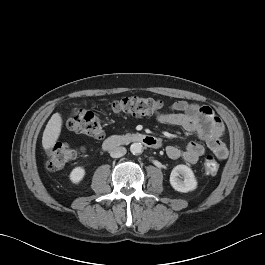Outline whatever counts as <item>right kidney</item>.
I'll return each mask as SVG.
<instances>
[{
	"mask_svg": "<svg viewBox=\"0 0 265 265\" xmlns=\"http://www.w3.org/2000/svg\"><path fill=\"white\" fill-rule=\"evenodd\" d=\"M85 176V169L82 167H76L74 168L70 173V180L78 184Z\"/></svg>",
	"mask_w": 265,
	"mask_h": 265,
	"instance_id": "obj_1",
	"label": "right kidney"
}]
</instances>
